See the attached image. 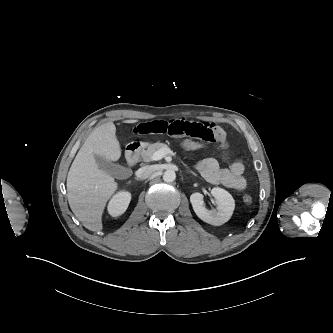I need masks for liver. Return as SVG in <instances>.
Wrapping results in <instances>:
<instances>
[{
    "label": "liver",
    "mask_w": 333,
    "mask_h": 333,
    "mask_svg": "<svg viewBox=\"0 0 333 333\" xmlns=\"http://www.w3.org/2000/svg\"><path fill=\"white\" fill-rule=\"evenodd\" d=\"M125 120L123 123H136ZM95 155L117 161L121 148L112 122L97 127L78 151L67 176V197L76 218L91 231H101L107 201L118 188L115 179L100 170Z\"/></svg>",
    "instance_id": "obj_1"
}]
</instances>
